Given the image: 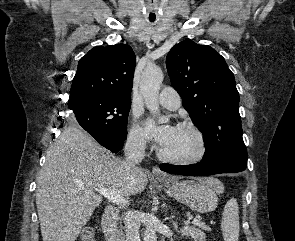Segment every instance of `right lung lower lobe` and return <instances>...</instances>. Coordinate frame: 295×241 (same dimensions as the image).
<instances>
[{
    "label": "right lung lower lobe",
    "instance_id": "1",
    "mask_svg": "<svg viewBox=\"0 0 295 241\" xmlns=\"http://www.w3.org/2000/svg\"><path fill=\"white\" fill-rule=\"evenodd\" d=\"M88 133L92 135L98 143H100L102 146L109 149L113 153L120 151L124 145V140L113 139L106 135H103L101 133H96V132H88Z\"/></svg>",
    "mask_w": 295,
    "mask_h": 241
}]
</instances>
